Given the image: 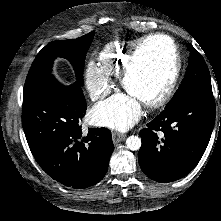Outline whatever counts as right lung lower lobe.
Segmentation results:
<instances>
[{"instance_id":"right-lung-lower-lobe-1","label":"right lung lower lobe","mask_w":221,"mask_h":221,"mask_svg":"<svg viewBox=\"0 0 221 221\" xmlns=\"http://www.w3.org/2000/svg\"><path fill=\"white\" fill-rule=\"evenodd\" d=\"M86 108L77 82L64 86L46 77L23 95L22 124L34 158L51 178L75 189L101 181L113 151L107 128L82 132Z\"/></svg>"}]
</instances>
